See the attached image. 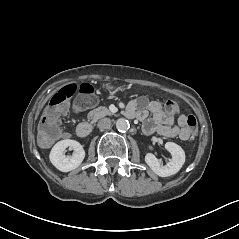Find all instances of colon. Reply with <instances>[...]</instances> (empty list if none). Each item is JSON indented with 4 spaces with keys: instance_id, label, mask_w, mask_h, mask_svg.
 <instances>
[{
    "instance_id": "5ec220e1",
    "label": "colon",
    "mask_w": 239,
    "mask_h": 239,
    "mask_svg": "<svg viewBox=\"0 0 239 239\" xmlns=\"http://www.w3.org/2000/svg\"><path fill=\"white\" fill-rule=\"evenodd\" d=\"M75 93H78L75 101L77 109H84L96 102L94 89L88 83H82L79 86L68 84L59 89L50 98L40 121L39 137L42 144H49L59 133V116ZM165 110L169 115H177L180 112V104L175 100H168L165 103ZM187 127L192 135L197 132V121L194 116L187 117Z\"/></svg>"
}]
</instances>
